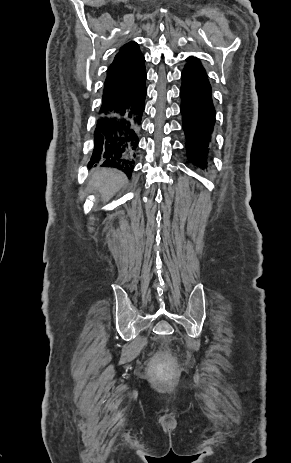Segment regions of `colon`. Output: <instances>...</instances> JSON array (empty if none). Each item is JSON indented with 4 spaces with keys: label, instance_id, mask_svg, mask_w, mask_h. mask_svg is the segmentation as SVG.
<instances>
[{
    "label": "colon",
    "instance_id": "colon-1",
    "mask_svg": "<svg viewBox=\"0 0 291 463\" xmlns=\"http://www.w3.org/2000/svg\"><path fill=\"white\" fill-rule=\"evenodd\" d=\"M167 371H168V369H167V367L165 365H159L158 369H157V376L159 378H163V377H165L167 375Z\"/></svg>",
    "mask_w": 291,
    "mask_h": 463
}]
</instances>
